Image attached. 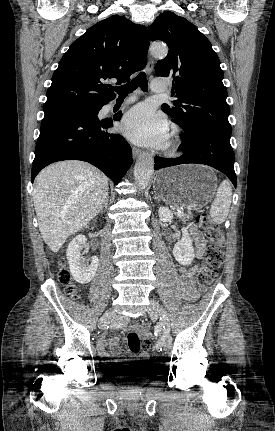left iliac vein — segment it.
I'll use <instances>...</instances> for the list:
<instances>
[{
    "label": "left iliac vein",
    "instance_id": "4c4485c4",
    "mask_svg": "<svg viewBox=\"0 0 275 431\" xmlns=\"http://www.w3.org/2000/svg\"><path fill=\"white\" fill-rule=\"evenodd\" d=\"M148 315L153 320L159 319V317L161 315V309H160L159 303L156 300H154V299L150 300V306H149V309H148ZM161 325H163V322H161ZM170 345H171V338H170V336L169 335H167V336L164 335V342H163V345H162L163 350L164 351L169 350L170 349Z\"/></svg>",
    "mask_w": 275,
    "mask_h": 431
}]
</instances>
